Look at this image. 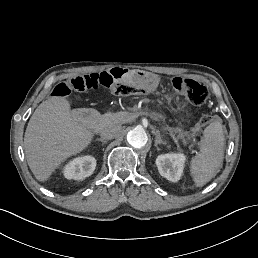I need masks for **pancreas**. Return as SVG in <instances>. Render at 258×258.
<instances>
[{
  "mask_svg": "<svg viewBox=\"0 0 258 258\" xmlns=\"http://www.w3.org/2000/svg\"><path fill=\"white\" fill-rule=\"evenodd\" d=\"M139 117H151L154 118L155 121L162 120V123L171 124V119L163 118V115H159L158 113L146 111L144 109L138 110H129V111H117V117H114V122H118V124H123L125 121H131V119H138ZM105 121V126L113 123V120L109 117L103 118ZM169 134L173 139L175 138V133H178V129H168Z\"/></svg>",
  "mask_w": 258,
  "mask_h": 258,
  "instance_id": "pancreas-1",
  "label": "pancreas"
}]
</instances>
